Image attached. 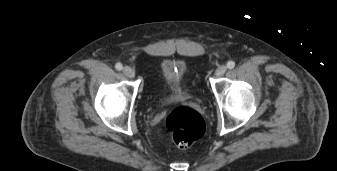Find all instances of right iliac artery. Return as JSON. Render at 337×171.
<instances>
[{"mask_svg": "<svg viewBox=\"0 0 337 171\" xmlns=\"http://www.w3.org/2000/svg\"><path fill=\"white\" fill-rule=\"evenodd\" d=\"M115 68H116L118 71H120V70L123 69V66H122L121 63H117V64L115 65Z\"/></svg>", "mask_w": 337, "mask_h": 171, "instance_id": "1", "label": "right iliac artery"}]
</instances>
